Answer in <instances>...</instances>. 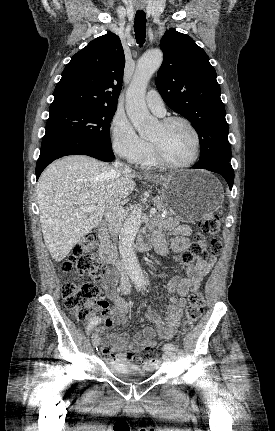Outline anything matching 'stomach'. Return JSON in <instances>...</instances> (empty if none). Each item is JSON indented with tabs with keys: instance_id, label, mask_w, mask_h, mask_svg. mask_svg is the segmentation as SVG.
Instances as JSON below:
<instances>
[{
	"instance_id": "0dacf381",
	"label": "stomach",
	"mask_w": 275,
	"mask_h": 431,
	"mask_svg": "<svg viewBox=\"0 0 275 431\" xmlns=\"http://www.w3.org/2000/svg\"><path fill=\"white\" fill-rule=\"evenodd\" d=\"M160 185L161 196L170 211L187 223L199 221L222 204L220 182L204 170H181L152 180Z\"/></svg>"
}]
</instances>
